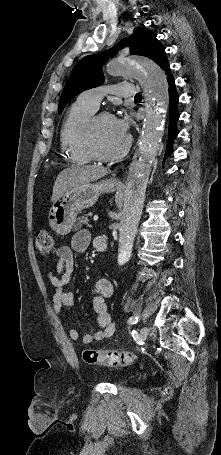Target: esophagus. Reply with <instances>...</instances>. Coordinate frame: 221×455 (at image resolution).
I'll return each mask as SVG.
<instances>
[{
    "label": "esophagus",
    "mask_w": 221,
    "mask_h": 455,
    "mask_svg": "<svg viewBox=\"0 0 221 455\" xmlns=\"http://www.w3.org/2000/svg\"><path fill=\"white\" fill-rule=\"evenodd\" d=\"M114 182H116V183H122V179L115 178V179H114Z\"/></svg>",
    "instance_id": "esophagus-1"
}]
</instances>
